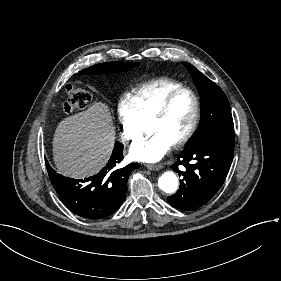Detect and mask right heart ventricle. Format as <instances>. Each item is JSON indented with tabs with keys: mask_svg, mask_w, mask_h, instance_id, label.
<instances>
[{
	"mask_svg": "<svg viewBox=\"0 0 281 281\" xmlns=\"http://www.w3.org/2000/svg\"><path fill=\"white\" fill-rule=\"evenodd\" d=\"M184 88L181 82L175 80H159L134 91L127 99L138 118L144 121L169 95Z\"/></svg>",
	"mask_w": 281,
	"mask_h": 281,
	"instance_id": "1",
	"label": "right heart ventricle"
}]
</instances>
